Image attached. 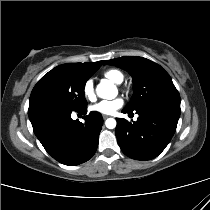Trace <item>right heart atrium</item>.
Listing matches in <instances>:
<instances>
[{
	"instance_id": "obj_1",
	"label": "right heart atrium",
	"mask_w": 210,
	"mask_h": 210,
	"mask_svg": "<svg viewBox=\"0 0 210 210\" xmlns=\"http://www.w3.org/2000/svg\"><path fill=\"white\" fill-rule=\"evenodd\" d=\"M83 96L88 101H94L95 100V87L94 82L91 79H88L82 88Z\"/></svg>"
}]
</instances>
